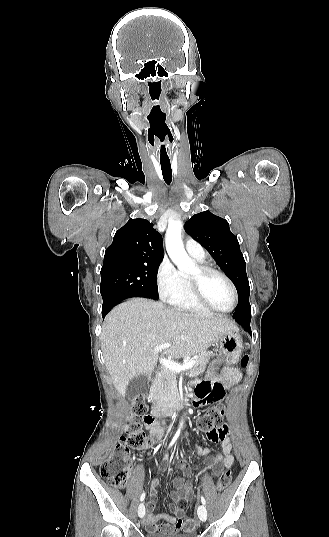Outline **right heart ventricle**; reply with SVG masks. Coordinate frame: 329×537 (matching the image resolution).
<instances>
[{
    "instance_id": "e07e8e85",
    "label": "right heart ventricle",
    "mask_w": 329,
    "mask_h": 537,
    "mask_svg": "<svg viewBox=\"0 0 329 537\" xmlns=\"http://www.w3.org/2000/svg\"><path fill=\"white\" fill-rule=\"evenodd\" d=\"M171 304L182 311L196 312L207 314L209 310L199 304L192 296L189 283L187 279H184V288L179 296L171 301Z\"/></svg>"
}]
</instances>
